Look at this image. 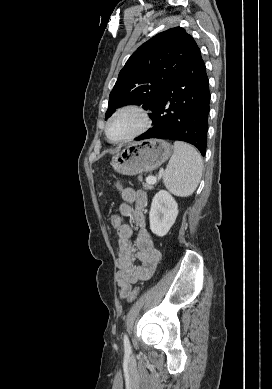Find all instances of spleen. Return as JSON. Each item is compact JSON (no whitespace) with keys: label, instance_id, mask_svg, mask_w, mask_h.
<instances>
[{"label":"spleen","instance_id":"obj_1","mask_svg":"<svg viewBox=\"0 0 272 389\" xmlns=\"http://www.w3.org/2000/svg\"><path fill=\"white\" fill-rule=\"evenodd\" d=\"M201 155L191 145L176 141L174 152L163 174L165 187L176 196L188 197L196 190L202 176Z\"/></svg>","mask_w":272,"mask_h":389}]
</instances>
